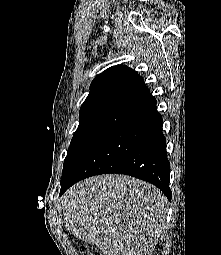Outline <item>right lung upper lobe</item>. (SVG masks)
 <instances>
[{"label":"right lung upper lobe","instance_id":"right-lung-upper-lobe-1","mask_svg":"<svg viewBox=\"0 0 221 255\" xmlns=\"http://www.w3.org/2000/svg\"><path fill=\"white\" fill-rule=\"evenodd\" d=\"M147 90L143 78L125 65L112 66L95 77L80 113L103 108L120 107Z\"/></svg>","mask_w":221,"mask_h":255}]
</instances>
